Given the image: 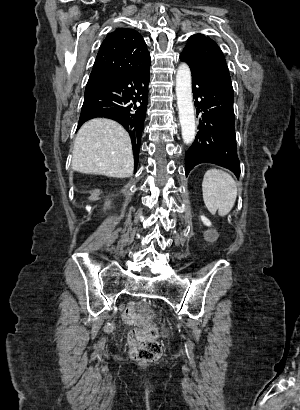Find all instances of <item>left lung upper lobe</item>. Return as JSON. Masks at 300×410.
I'll return each instance as SVG.
<instances>
[{"label":"left lung upper lobe","mask_w":300,"mask_h":410,"mask_svg":"<svg viewBox=\"0 0 300 410\" xmlns=\"http://www.w3.org/2000/svg\"><path fill=\"white\" fill-rule=\"evenodd\" d=\"M181 54L197 69L220 76L232 86L225 57L209 37L203 34L189 37Z\"/></svg>","instance_id":"5c2ea615"}]
</instances>
